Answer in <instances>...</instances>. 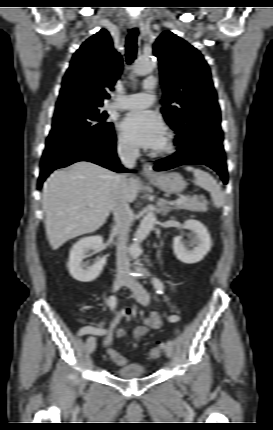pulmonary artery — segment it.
<instances>
[{
    "instance_id": "e3ab8cb5",
    "label": "pulmonary artery",
    "mask_w": 273,
    "mask_h": 430,
    "mask_svg": "<svg viewBox=\"0 0 273 430\" xmlns=\"http://www.w3.org/2000/svg\"><path fill=\"white\" fill-rule=\"evenodd\" d=\"M156 88V80L154 78H147L144 82L143 92L116 99L113 107L123 110L147 108L154 102Z\"/></svg>"
}]
</instances>
